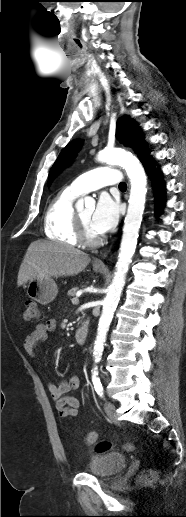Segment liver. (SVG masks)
I'll use <instances>...</instances> for the list:
<instances>
[{"mask_svg": "<svg viewBox=\"0 0 186 517\" xmlns=\"http://www.w3.org/2000/svg\"><path fill=\"white\" fill-rule=\"evenodd\" d=\"M89 262V255L74 247L38 240L27 249L19 268L17 285L34 279L74 276Z\"/></svg>", "mask_w": 186, "mask_h": 517, "instance_id": "1", "label": "liver"}]
</instances>
